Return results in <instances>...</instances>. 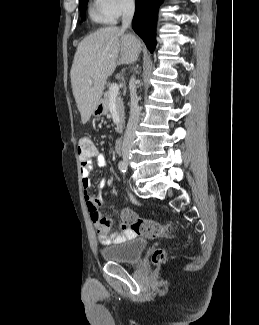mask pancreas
<instances>
[{
  "mask_svg": "<svg viewBox=\"0 0 259 325\" xmlns=\"http://www.w3.org/2000/svg\"><path fill=\"white\" fill-rule=\"evenodd\" d=\"M114 100H115L116 110H117V113L119 116V123L117 124L116 132L121 134L123 131V123H124V119H125L123 100L119 95H117ZM110 102H111L110 92L107 91L104 94V103H105V107H106V113H108L110 111Z\"/></svg>",
  "mask_w": 259,
  "mask_h": 325,
  "instance_id": "1",
  "label": "pancreas"
}]
</instances>
